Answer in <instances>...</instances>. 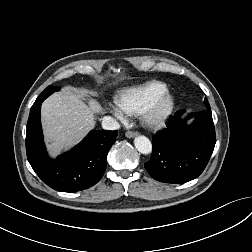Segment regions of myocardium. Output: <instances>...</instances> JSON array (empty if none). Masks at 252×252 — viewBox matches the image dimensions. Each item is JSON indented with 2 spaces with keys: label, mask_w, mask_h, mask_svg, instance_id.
<instances>
[{
  "label": "myocardium",
  "mask_w": 252,
  "mask_h": 252,
  "mask_svg": "<svg viewBox=\"0 0 252 252\" xmlns=\"http://www.w3.org/2000/svg\"><path fill=\"white\" fill-rule=\"evenodd\" d=\"M175 107L176 98L169 89H166L146 106L141 113V119L150 128H161L170 120Z\"/></svg>",
  "instance_id": "f54148a6"
}]
</instances>
